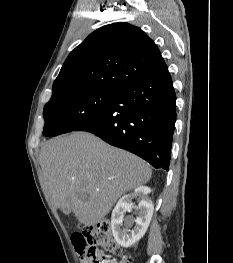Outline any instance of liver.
Returning <instances> with one entry per match:
<instances>
[{"label": "liver", "mask_w": 233, "mask_h": 263, "mask_svg": "<svg viewBox=\"0 0 233 263\" xmlns=\"http://www.w3.org/2000/svg\"><path fill=\"white\" fill-rule=\"evenodd\" d=\"M39 157L54 206L69 208L87 226L99 223L124 193L152 175L139 157L87 132L47 141Z\"/></svg>", "instance_id": "obj_1"}]
</instances>
